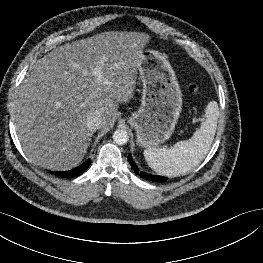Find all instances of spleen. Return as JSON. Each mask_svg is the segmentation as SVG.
I'll return each instance as SVG.
<instances>
[{"label": "spleen", "instance_id": "obj_1", "mask_svg": "<svg viewBox=\"0 0 263 263\" xmlns=\"http://www.w3.org/2000/svg\"><path fill=\"white\" fill-rule=\"evenodd\" d=\"M218 121V104L208 103L205 120L190 139L179 141L170 148L148 147L143 154L147 164L160 175L176 177L192 171L211 148Z\"/></svg>", "mask_w": 263, "mask_h": 263}]
</instances>
